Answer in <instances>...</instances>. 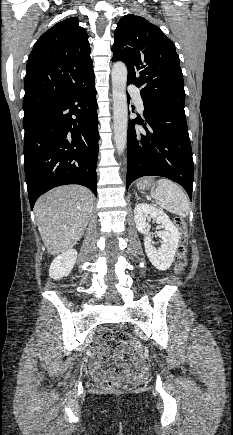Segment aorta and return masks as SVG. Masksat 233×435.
Returning a JSON list of instances; mask_svg holds the SVG:
<instances>
[{"instance_id":"obj_1","label":"aorta","mask_w":233,"mask_h":435,"mask_svg":"<svg viewBox=\"0 0 233 435\" xmlns=\"http://www.w3.org/2000/svg\"><path fill=\"white\" fill-rule=\"evenodd\" d=\"M127 67L117 62L112 68V96L114 111V141L118 154H122L127 142L128 105L126 96Z\"/></svg>"}]
</instances>
